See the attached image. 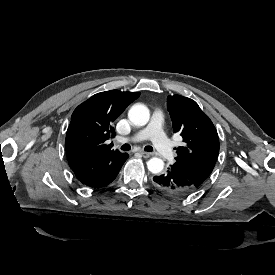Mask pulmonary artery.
I'll use <instances>...</instances> for the list:
<instances>
[{
    "mask_svg": "<svg viewBox=\"0 0 275 275\" xmlns=\"http://www.w3.org/2000/svg\"><path fill=\"white\" fill-rule=\"evenodd\" d=\"M153 123L151 125L152 133L150 140L153 143V146L155 148L156 153L165 158V159H172L174 157V152L172 149H170V144L168 142V138L163 131L162 124H163V118H164V111L157 107L153 111ZM150 128L144 132L135 133L132 137H119L116 139V143L118 145H122L128 142H139L141 140H144L148 138L149 136Z\"/></svg>",
    "mask_w": 275,
    "mask_h": 275,
    "instance_id": "1",
    "label": "pulmonary artery"
}]
</instances>
